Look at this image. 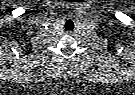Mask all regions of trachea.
<instances>
[{
  "instance_id": "obj_1",
  "label": "trachea",
  "mask_w": 135,
  "mask_h": 95,
  "mask_svg": "<svg viewBox=\"0 0 135 95\" xmlns=\"http://www.w3.org/2000/svg\"><path fill=\"white\" fill-rule=\"evenodd\" d=\"M65 28L67 30H72L74 29V23L72 22V20H67L65 23Z\"/></svg>"
}]
</instances>
